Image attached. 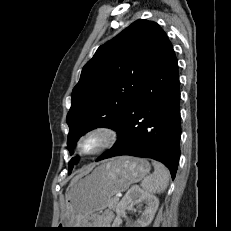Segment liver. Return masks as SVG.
Wrapping results in <instances>:
<instances>
[{
	"label": "liver",
	"mask_w": 231,
	"mask_h": 231,
	"mask_svg": "<svg viewBox=\"0 0 231 231\" xmlns=\"http://www.w3.org/2000/svg\"><path fill=\"white\" fill-rule=\"evenodd\" d=\"M89 171H90V169H88L87 171L82 172L81 174H79L78 176H76L74 179H76V178L82 176V175L85 174V173H88ZM74 179H73V180H74Z\"/></svg>",
	"instance_id": "1"
}]
</instances>
